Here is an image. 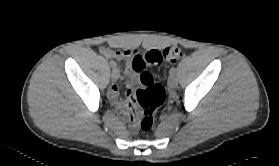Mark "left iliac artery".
<instances>
[{
	"instance_id": "1",
	"label": "left iliac artery",
	"mask_w": 279,
	"mask_h": 166,
	"mask_svg": "<svg viewBox=\"0 0 279 166\" xmlns=\"http://www.w3.org/2000/svg\"><path fill=\"white\" fill-rule=\"evenodd\" d=\"M170 74H175V72H176V68L175 67H172L171 69H170Z\"/></svg>"
}]
</instances>
